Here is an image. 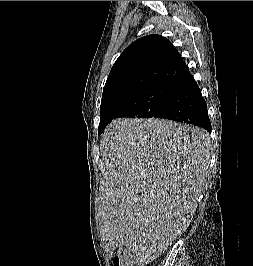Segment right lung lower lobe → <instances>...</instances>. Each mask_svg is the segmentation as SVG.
<instances>
[{"label": "right lung lower lobe", "instance_id": "1", "mask_svg": "<svg viewBox=\"0 0 253 266\" xmlns=\"http://www.w3.org/2000/svg\"><path fill=\"white\" fill-rule=\"evenodd\" d=\"M158 118L193 124L211 132L206 102L190 72L173 83L168 104Z\"/></svg>", "mask_w": 253, "mask_h": 266}]
</instances>
